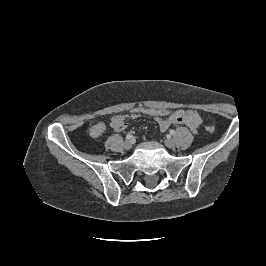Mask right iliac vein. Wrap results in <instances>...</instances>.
Instances as JSON below:
<instances>
[{"instance_id":"1","label":"right iliac vein","mask_w":266,"mask_h":266,"mask_svg":"<svg viewBox=\"0 0 266 266\" xmlns=\"http://www.w3.org/2000/svg\"><path fill=\"white\" fill-rule=\"evenodd\" d=\"M123 146H124V148H125L126 150H129V149L132 148V142H131L130 140H126V141L124 142Z\"/></svg>"}]
</instances>
